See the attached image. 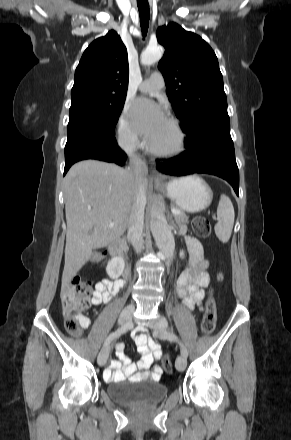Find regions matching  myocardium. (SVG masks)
<instances>
[{"instance_id":"f54148a6","label":"myocardium","mask_w":291,"mask_h":440,"mask_svg":"<svg viewBox=\"0 0 291 440\" xmlns=\"http://www.w3.org/2000/svg\"><path fill=\"white\" fill-rule=\"evenodd\" d=\"M169 123L176 136L175 144L170 149H160L150 142L146 144L148 151L159 158H173L181 155L186 146V135L177 120L170 118Z\"/></svg>"}]
</instances>
